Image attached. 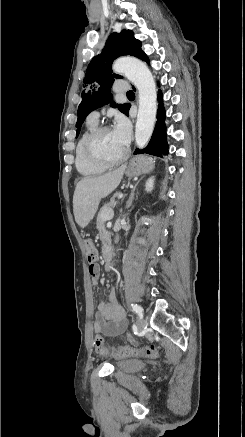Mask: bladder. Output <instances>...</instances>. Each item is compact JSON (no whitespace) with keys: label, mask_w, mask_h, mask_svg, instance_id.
<instances>
[{"label":"bladder","mask_w":245,"mask_h":437,"mask_svg":"<svg viewBox=\"0 0 245 437\" xmlns=\"http://www.w3.org/2000/svg\"><path fill=\"white\" fill-rule=\"evenodd\" d=\"M142 365L143 363L137 359L121 360L117 362V367L124 371H134Z\"/></svg>","instance_id":"1"}]
</instances>
